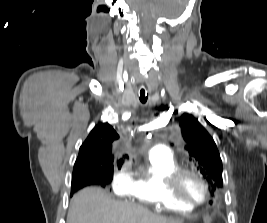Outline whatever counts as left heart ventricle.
Masks as SVG:
<instances>
[{
  "mask_svg": "<svg viewBox=\"0 0 267 223\" xmlns=\"http://www.w3.org/2000/svg\"><path fill=\"white\" fill-rule=\"evenodd\" d=\"M182 192L190 199L201 200L204 196V189L201 183L193 176L188 175L183 178L181 184Z\"/></svg>",
  "mask_w": 267,
  "mask_h": 223,
  "instance_id": "left-heart-ventricle-1",
  "label": "left heart ventricle"
}]
</instances>
